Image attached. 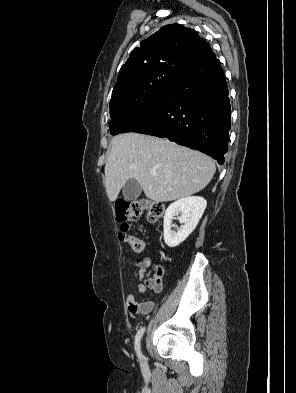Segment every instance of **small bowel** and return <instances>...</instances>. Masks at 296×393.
<instances>
[{
    "instance_id": "obj_1",
    "label": "small bowel",
    "mask_w": 296,
    "mask_h": 393,
    "mask_svg": "<svg viewBox=\"0 0 296 393\" xmlns=\"http://www.w3.org/2000/svg\"><path fill=\"white\" fill-rule=\"evenodd\" d=\"M138 270L134 272V275L139 279V283L136 287V291L139 294H143L146 291V287L151 285L152 290L155 293H159L162 290V284L160 281L156 285H152L148 281L142 282L145 273L149 268H154V262L150 257H145L141 261L137 262ZM126 303L128 311L131 317L137 318L138 316L147 315L154 309L155 303L153 301L138 302L133 293H129L126 297Z\"/></svg>"
}]
</instances>
